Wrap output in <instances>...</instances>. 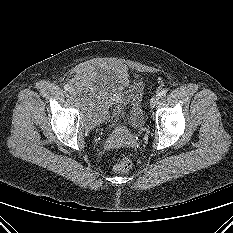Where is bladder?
Listing matches in <instances>:
<instances>
[{"instance_id": "obj_1", "label": "bladder", "mask_w": 233, "mask_h": 233, "mask_svg": "<svg viewBox=\"0 0 233 233\" xmlns=\"http://www.w3.org/2000/svg\"><path fill=\"white\" fill-rule=\"evenodd\" d=\"M143 90L142 83L126 70L101 63L84 64L71 81V94L89 128L112 121L141 130L145 125Z\"/></svg>"}]
</instances>
